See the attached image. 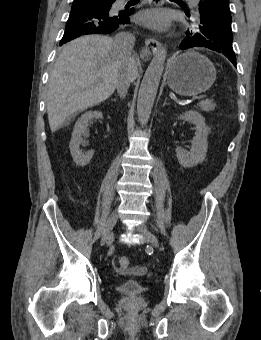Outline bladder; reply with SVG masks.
I'll return each mask as SVG.
<instances>
[{
  "mask_svg": "<svg viewBox=\"0 0 261 340\" xmlns=\"http://www.w3.org/2000/svg\"><path fill=\"white\" fill-rule=\"evenodd\" d=\"M144 289V282L136 278H124L118 287V290L128 297L138 296L144 291Z\"/></svg>",
  "mask_w": 261,
  "mask_h": 340,
  "instance_id": "bladder-1",
  "label": "bladder"
}]
</instances>
